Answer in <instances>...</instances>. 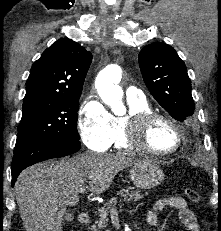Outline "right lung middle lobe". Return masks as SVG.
<instances>
[{"mask_svg": "<svg viewBox=\"0 0 221 231\" xmlns=\"http://www.w3.org/2000/svg\"><path fill=\"white\" fill-rule=\"evenodd\" d=\"M79 97L38 98L23 101L14 153L31 144L48 141L79 142L77 119Z\"/></svg>", "mask_w": 221, "mask_h": 231, "instance_id": "obj_1", "label": "right lung middle lobe"}]
</instances>
